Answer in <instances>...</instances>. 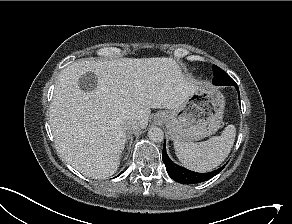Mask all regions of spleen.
I'll list each match as a JSON object with an SVG mask.
<instances>
[{
    "label": "spleen",
    "instance_id": "3e777b00",
    "mask_svg": "<svg viewBox=\"0 0 292 224\" xmlns=\"http://www.w3.org/2000/svg\"><path fill=\"white\" fill-rule=\"evenodd\" d=\"M236 136L234 125H228L220 136L199 143L175 142V153L180 162L196 172H209L229 155Z\"/></svg>",
    "mask_w": 292,
    "mask_h": 224
}]
</instances>
